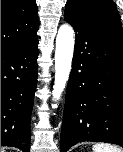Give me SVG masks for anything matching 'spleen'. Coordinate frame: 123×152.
I'll use <instances>...</instances> for the list:
<instances>
[{
    "instance_id": "obj_1",
    "label": "spleen",
    "mask_w": 123,
    "mask_h": 152,
    "mask_svg": "<svg viewBox=\"0 0 123 152\" xmlns=\"http://www.w3.org/2000/svg\"><path fill=\"white\" fill-rule=\"evenodd\" d=\"M93 152H123V151L116 146L100 143L93 146Z\"/></svg>"
}]
</instances>
